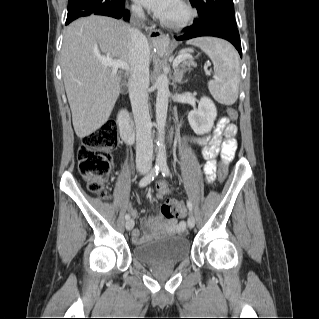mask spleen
Segmentation results:
<instances>
[{"label":"spleen","mask_w":319,"mask_h":319,"mask_svg":"<svg viewBox=\"0 0 319 319\" xmlns=\"http://www.w3.org/2000/svg\"><path fill=\"white\" fill-rule=\"evenodd\" d=\"M199 47L212 60L215 76L208 82L213 98L223 105L236 102L239 92L240 67L235 49L226 41L202 37L187 42Z\"/></svg>","instance_id":"spleen-1"}]
</instances>
